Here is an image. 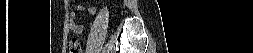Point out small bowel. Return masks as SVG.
<instances>
[{"label":"small bowel","instance_id":"obj_1","mask_svg":"<svg viewBox=\"0 0 253 53\" xmlns=\"http://www.w3.org/2000/svg\"><path fill=\"white\" fill-rule=\"evenodd\" d=\"M80 10L87 11L90 14H94L96 9L94 7L80 8ZM69 28L74 34H80L83 30V26L76 22L75 13L73 11L69 14Z\"/></svg>","mask_w":253,"mask_h":53}]
</instances>
